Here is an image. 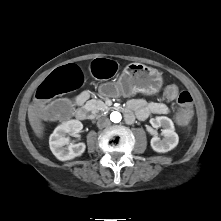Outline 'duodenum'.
<instances>
[{
    "mask_svg": "<svg viewBox=\"0 0 221 221\" xmlns=\"http://www.w3.org/2000/svg\"><path fill=\"white\" fill-rule=\"evenodd\" d=\"M75 116L78 120L85 121L88 118V112L85 109H78ZM125 117L128 122L133 121V114L128 109L125 111Z\"/></svg>",
    "mask_w": 221,
    "mask_h": 221,
    "instance_id": "obj_1",
    "label": "duodenum"
}]
</instances>
